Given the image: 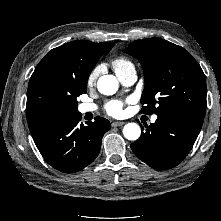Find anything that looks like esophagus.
Wrapping results in <instances>:
<instances>
[{"instance_id": "1", "label": "esophagus", "mask_w": 221, "mask_h": 221, "mask_svg": "<svg viewBox=\"0 0 221 221\" xmlns=\"http://www.w3.org/2000/svg\"><path fill=\"white\" fill-rule=\"evenodd\" d=\"M125 124V122L123 121H114L112 122V127H119V126H123Z\"/></svg>"}]
</instances>
